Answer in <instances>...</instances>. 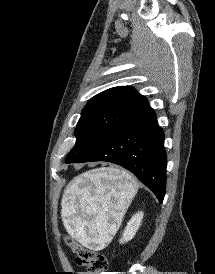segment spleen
<instances>
[{"instance_id": "3e777b00", "label": "spleen", "mask_w": 215, "mask_h": 274, "mask_svg": "<svg viewBox=\"0 0 215 274\" xmlns=\"http://www.w3.org/2000/svg\"><path fill=\"white\" fill-rule=\"evenodd\" d=\"M138 190L136 179L120 169L101 168L75 177L64 191L62 218L84 245L103 247L114 234Z\"/></svg>"}]
</instances>
